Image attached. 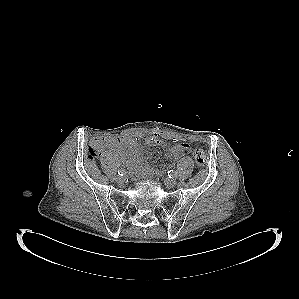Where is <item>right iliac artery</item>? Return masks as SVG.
<instances>
[{
	"instance_id": "1",
	"label": "right iliac artery",
	"mask_w": 299,
	"mask_h": 299,
	"mask_svg": "<svg viewBox=\"0 0 299 299\" xmlns=\"http://www.w3.org/2000/svg\"><path fill=\"white\" fill-rule=\"evenodd\" d=\"M118 174H119L120 176H123V175L126 174V171H125L124 169H120V170H118Z\"/></svg>"
}]
</instances>
